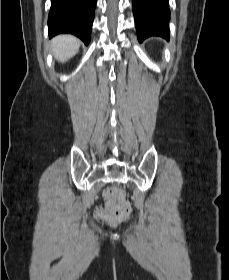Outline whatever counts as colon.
I'll list each match as a JSON object with an SVG mask.
<instances>
[{"instance_id":"colon-1","label":"colon","mask_w":229,"mask_h":280,"mask_svg":"<svg viewBox=\"0 0 229 280\" xmlns=\"http://www.w3.org/2000/svg\"><path fill=\"white\" fill-rule=\"evenodd\" d=\"M104 197L106 200L105 209L97 211L100 221L116 223L126 219L131 213V206L125 197L124 191L119 186L108 188Z\"/></svg>"}]
</instances>
